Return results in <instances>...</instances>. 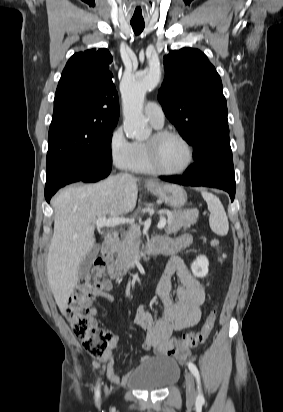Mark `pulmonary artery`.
Masks as SVG:
<instances>
[{"instance_id":"1","label":"pulmonary artery","mask_w":283,"mask_h":412,"mask_svg":"<svg viewBox=\"0 0 283 412\" xmlns=\"http://www.w3.org/2000/svg\"><path fill=\"white\" fill-rule=\"evenodd\" d=\"M144 114L154 127L160 128L163 126L165 115L159 103L155 101L148 102L145 105Z\"/></svg>"}]
</instances>
